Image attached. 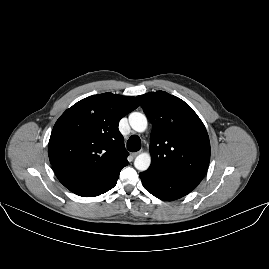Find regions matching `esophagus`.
<instances>
[{
	"label": "esophagus",
	"instance_id": "1",
	"mask_svg": "<svg viewBox=\"0 0 269 269\" xmlns=\"http://www.w3.org/2000/svg\"><path fill=\"white\" fill-rule=\"evenodd\" d=\"M140 152H141V151L133 152V153H131V156H132L133 158H135L137 155L140 154Z\"/></svg>",
	"mask_w": 269,
	"mask_h": 269
}]
</instances>
